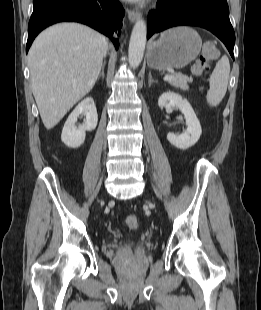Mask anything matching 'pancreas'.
Returning <instances> with one entry per match:
<instances>
[{
	"mask_svg": "<svg viewBox=\"0 0 261 310\" xmlns=\"http://www.w3.org/2000/svg\"><path fill=\"white\" fill-rule=\"evenodd\" d=\"M173 76V79L168 80L172 86L180 88L183 91H187L189 89L188 82H192V77H188L182 73H174Z\"/></svg>",
	"mask_w": 261,
	"mask_h": 310,
	"instance_id": "pancreas-1",
	"label": "pancreas"
}]
</instances>
